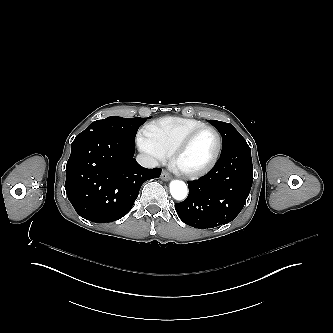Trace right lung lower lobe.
<instances>
[{
  "label": "right lung lower lobe",
  "instance_id": "98d812e1",
  "mask_svg": "<svg viewBox=\"0 0 333 333\" xmlns=\"http://www.w3.org/2000/svg\"><path fill=\"white\" fill-rule=\"evenodd\" d=\"M135 142L95 132L79 134L66 165L65 189L75 211L96 223L118 220L132 208L141 185L158 178L133 158Z\"/></svg>",
  "mask_w": 333,
  "mask_h": 333
}]
</instances>
